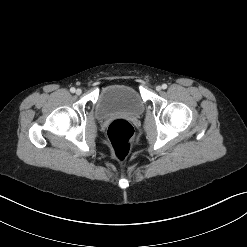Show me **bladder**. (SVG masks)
I'll list each match as a JSON object with an SVG mask.
<instances>
[{
    "label": "bladder",
    "mask_w": 247,
    "mask_h": 247,
    "mask_svg": "<svg viewBox=\"0 0 247 247\" xmlns=\"http://www.w3.org/2000/svg\"><path fill=\"white\" fill-rule=\"evenodd\" d=\"M144 102L138 91L126 84L105 87L97 102V114L101 118L115 114L137 116L142 113Z\"/></svg>",
    "instance_id": "1"
}]
</instances>
